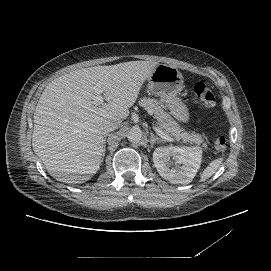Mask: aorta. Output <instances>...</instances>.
Wrapping results in <instances>:
<instances>
[{
  "mask_svg": "<svg viewBox=\"0 0 271 271\" xmlns=\"http://www.w3.org/2000/svg\"><path fill=\"white\" fill-rule=\"evenodd\" d=\"M127 138L132 143H139L142 141L143 135L139 128H131L127 134Z\"/></svg>",
  "mask_w": 271,
  "mask_h": 271,
  "instance_id": "762f6f07",
  "label": "aorta"
}]
</instances>
